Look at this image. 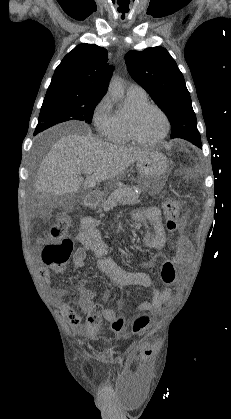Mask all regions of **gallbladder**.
<instances>
[{
	"mask_svg": "<svg viewBox=\"0 0 231 419\" xmlns=\"http://www.w3.org/2000/svg\"><path fill=\"white\" fill-rule=\"evenodd\" d=\"M73 197L72 195H64L63 197L55 196V195H49L46 197V199L42 202V204H48L52 207L56 206H68L69 204V198Z\"/></svg>",
	"mask_w": 231,
	"mask_h": 419,
	"instance_id": "obj_1",
	"label": "gallbladder"
}]
</instances>
